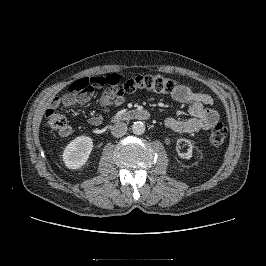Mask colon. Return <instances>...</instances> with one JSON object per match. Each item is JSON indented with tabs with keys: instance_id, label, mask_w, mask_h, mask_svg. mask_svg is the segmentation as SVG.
I'll return each instance as SVG.
<instances>
[{
	"instance_id": "obj_1",
	"label": "colon",
	"mask_w": 266,
	"mask_h": 266,
	"mask_svg": "<svg viewBox=\"0 0 266 266\" xmlns=\"http://www.w3.org/2000/svg\"><path fill=\"white\" fill-rule=\"evenodd\" d=\"M104 85L109 86L116 96L131 94L141 90L169 94L177 88L175 80L161 74L138 75L123 81L119 74L110 73L77 79L69 85L68 91L73 94H86ZM45 125L48 130L61 134H66L69 131L65 116L55 108H49L46 111ZM226 137L227 128L222 123L216 124L210 132V142L214 146L223 144Z\"/></svg>"
}]
</instances>
